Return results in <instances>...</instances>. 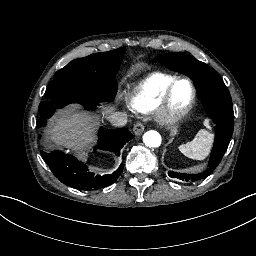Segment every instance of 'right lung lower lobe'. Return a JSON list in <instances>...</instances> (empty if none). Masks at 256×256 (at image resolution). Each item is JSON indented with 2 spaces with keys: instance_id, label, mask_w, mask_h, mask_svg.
<instances>
[{
  "instance_id": "98d812e1",
  "label": "right lung lower lobe",
  "mask_w": 256,
  "mask_h": 256,
  "mask_svg": "<svg viewBox=\"0 0 256 256\" xmlns=\"http://www.w3.org/2000/svg\"><path fill=\"white\" fill-rule=\"evenodd\" d=\"M86 109H94L97 103H81ZM55 111V110H54ZM54 111L48 112L38 121L41 127L46 119L52 116ZM40 137V136H39ZM134 136L127 129L103 130L99 132L98 147L103 150H111L116 155L120 154L121 148ZM42 158L50 167L52 173L64 184L80 190L100 189L113 184L123 170V164L107 175H95L88 171V168L71 155L60 151H41Z\"/></svg>"
}]
</instances>
